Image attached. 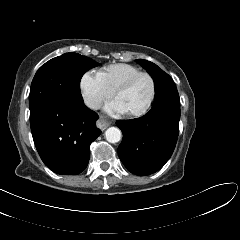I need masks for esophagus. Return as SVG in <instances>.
Here are the masks:
<instances>
[{"instance_id":"1","label":"esophagus","mask_w":240,"mask_h":240,"mask_svg":"<svg viewBox=\"0 0 240 240\" xmlns=\"http://www.w3.org/2000/svg\"><path fill=\"white\" fill-rule=\"evenodd\" d=\"M96 124L98 128L105 130L110 125V121L104 117H100Z\"/></svg>"}]
</instances>
